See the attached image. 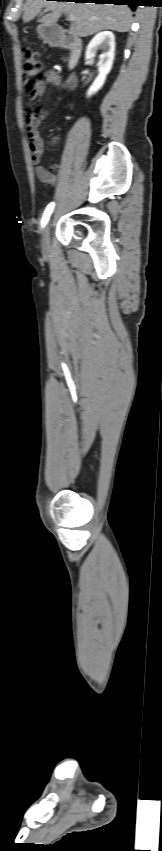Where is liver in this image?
<instances>
[{
  "mask_svg": "<svg viewBox=\"0 0 162 851\" xmlns=\"http://www.w3.org/2000/svg\"><path fill=\"white\" fill-rule=\"evenodd\" d=\"M46 7L51 13L46 14L40 22L53 25L62 13L74 16L70 31L79 37H87L103 30L127 32L130 29L132 15L126 5L96 4L85 2L26 0L23 21L27 23L39 15Z\"/></svg>",
  "mask_w": 162,
  "mask_h": 851,
  "instance_id": "obj_1",
  "label": "liver"
}]
</instances>
